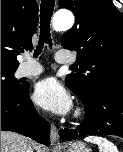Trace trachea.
I'll return each instance as SVG.
<instances>
[{"instance_id": "1", "label": "trachea", "mask_w": 123, "mask_h": 152, "mask_svg": "<svg viewBox=\"0 0 123 152\" xmlns=\"http://www.w3.org/2000/svg\"><path fill=\"white\" fill-rule=\"evenodd\" d=\"M55 0H41L40 9V36L39 44L35 50L34 56L37 57L43 49L44 43L52 46V39L50 34V21L54 10Z\"/></svg>"}]
</instances>
